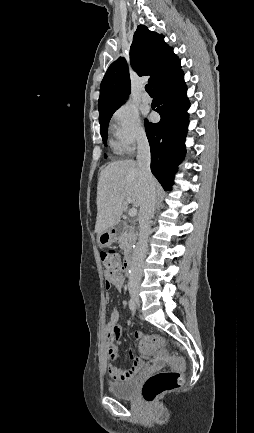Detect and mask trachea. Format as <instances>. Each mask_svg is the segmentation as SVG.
Segmentation results:
<instances>
[{
	"instance_id": "1",
	"label": "trachea",
	"mask_w": 254,
	"mask_h": 433,
	"mask_svg": "<svg viewBox=\"0 0 254 433\" xmlns=\"http://www.w3.org/2000/svg\"><path fill=\"white\" fill-rule=\"evenodd\" d=\"M145 90H146V92H147L149 95H153V90H152V86H151V84H147V85L145 86Z\"/></svg>"
}]
</instances>
